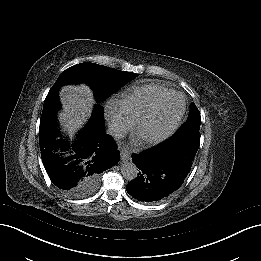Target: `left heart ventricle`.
Returning a JSON list of instances; mask_svg holds the SVG:
<instances>
[{
	"instance_id": "obj_1",
	"label": "left heart ventricle",
	"mask_w": 261,
	"mask_h": 261,
	"mask_svg": "<svg viewBox=\"0 0 261 261\" xmlns=\"http://www.w3.org/2000/svg\"><path fill=\"white\" fill-rule=\"evenodd\" d=\"M182 98L170 99L162 109L150 114L141 124L140 133L146 136L156 135L168 128L179 116Z\"/></svg>"
}]
</instances>
